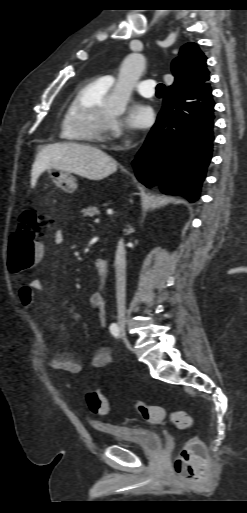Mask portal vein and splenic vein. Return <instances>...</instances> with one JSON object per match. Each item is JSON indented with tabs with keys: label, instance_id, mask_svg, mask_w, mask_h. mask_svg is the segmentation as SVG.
<instances>
[{
	"label": "portal vein and splenic vein",
	"instance_id": "18ae733b",
	"mask_svg": "<svg viewBox=\"0 0 247 513\" xmlns=\"http://www.w3.org/2000/svg\"><path fill=\"white\" fill-rule=\"evenodd\" d=\"M95 222H99V219H95Z\"/></svg>",
	"mask_w": 247,
	"mask_h": 513
}]
</instances>
